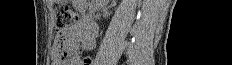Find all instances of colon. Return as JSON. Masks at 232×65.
<instances>
[{"instance_id": "colon-1", "label": "colon", "mask_w": 232, "mask_h": 65, "mask_svg": "<svg viewBox=\"0 0 232 65\" xmlns=\"http://www.w3.org/2000/svg\"><path fill=\"white\" fill-rule=\"evenodd\" d=\"M78 22L77 13L69 6H62L57 8L55 14V28L58 31L56 39L57 54L61 59L68 56V51L65 49V39L62 36V31L72 27ZM85 65H88L89 59L84 60Z\"/></svg>"}]
</instances>
